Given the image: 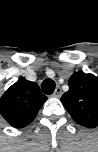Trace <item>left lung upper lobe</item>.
Returning <instances> with one entry per match:
<instances>
[{"mask_svg": "<svg viewBox=\"0 0 98 152\" xmlns=\"http://www.w3.org/2000/svg\"><path fill=\"white\" fill-rule=\"evenodd\" d=\"M61 102L79 125L87 128L98 126V77L83 71L73 73L69 90Z\"/></svg>", "mask_w": 98, "mask_h": 152, "instance_id": "obj_1", "label": "left lung upper lobe"}]
</instances>
